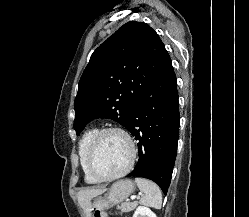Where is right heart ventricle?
I'll return each instance as SVG.
<instances>
[{
    "instance_id": "e07e8e85",
    "label": "right heart ventricle",
    "mask_w": 249,
    "mask_h": 217,
    "mask_svg": "<svg viewBox=\"0 0 249 217\" xmlns=\"http://www.w3.org/2000/svg\"><path fill=\"white\" fill-rule=\"evenodd\" d=\"M98 129L95 127L88 128L82 135L79 144H78V154H79V162L80 167L84 175V179L87 183L94 184L99 181L95 180L88 172L86 167V156L90 146L91 141L98 133Z\"/></svg>"
}]
</instances>
